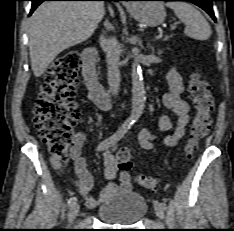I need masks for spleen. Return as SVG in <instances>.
Wrapping results in <instances>:
<instances>
[{"instance_id":"obj_1","label":"spleen","mask_w":234,"mask_h":231,"mask_svg":"<svg viewBox=\"0 0 234 231\" xmlns=\"http://www.w3.org/2000/svg\"><path fill=\"white\" fill-rule=\"evenodd\" d=\"M178 19L183 22L186 27L184 34L196 40H207L211 34V27L203 15L191 4L187 2H167Z\"/></svg>"}]
</instances>
